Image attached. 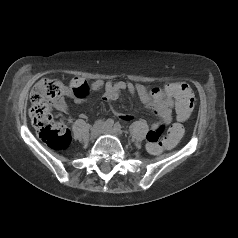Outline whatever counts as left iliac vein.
Wrapping results in <instances>:
<instances>
[{
	"label": "left iliac vein",
	"instance_id": "left-iliac-vein-1",
	"mask_svg": "<svg viewBox=\"0 0 238 238\" xmlns=\"http://www.w3.org/2000/svg\"><path fill=\"white\" fill-rule=\"evenodd\" d=\"M103 132H104L105 134H110V135H114V136H119V133H118L115 129L111 128V127H106V128L103 130Z\"/></svg>",
	"mask_w": 238,
	"mask_h": 238
}]
</instances>
